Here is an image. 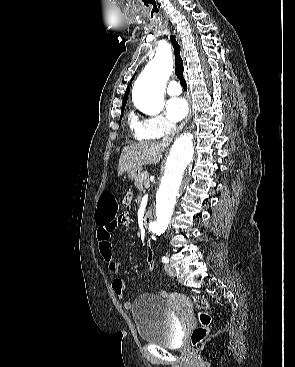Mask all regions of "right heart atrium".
<instances>
[{
  "label": "right heart atrium",
  "instance_id": "d8ad5b80",
  "mask_svg": "<svg viewBox=\"0 0 295 367\" xmlns=\"http://www.w3.org/2000/svg\"><path fill=\"white\" fill-rule=\"evenodd\" d=\"M133 130L139 138L157 139L173 134L176 131V126L162 113H156L145 119H137Z\"/></svg>",
  "mask_w": 295,
  "mask_h": 367
}]
</instances>
